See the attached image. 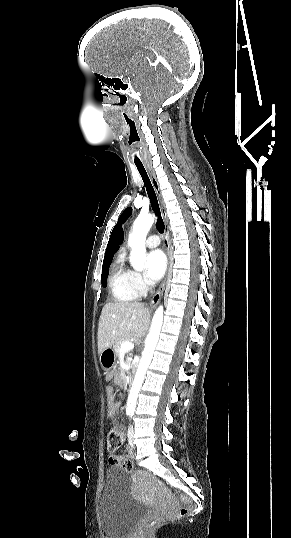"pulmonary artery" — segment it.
<instances>
[{"mask_svg":"<svg viewBox=\"0 0 291 538\" xmlns=\"http://www.w3.org/2000/svg\"><path fill=\"white\" fill-rule=\"evenodd\" d=\"M160 244V238L157 235H151L146 240V246L148 248H155Z\"/></svg>","mask_w":291,"mask_h":538,"instance_id":"1","label":"pulmonary artery"}]
</instances>
